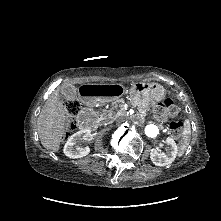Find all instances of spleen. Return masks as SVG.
<instances>
[{
	"instance_id": "obj_1",
	"label": "spleen",
	"mask_w": 221,
	"mask_h": 221,
	"mask_svg": "<svg viewBox=\"0 0 221 221\" xmlns=\"http://www.w3.org/2000/svg\"><path fill=\"white\" fill-rule=\"evenodd\" d=\"M190 132H191L190 131V126L187 125L184 128L183 138L181 140V149H182V151L186 150V148L189 145V142H190Z\"/></svg>"
}]
</instances>
